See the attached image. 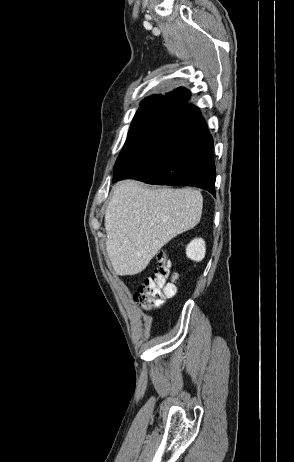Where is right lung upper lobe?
<instances>
[{
	"label": "right lung upper lobe",
	"instance_id": "1",
	"mask_svg": "<svg viewBox=\"0 0 294 462\" xmlns=\"http://www.w3.org/2000/svg\"><path fill=\"white\" fill-rule=\"evenodd\" d=\"M189 95H190V92H186V93H185V89L182 88V87H179V88H177L176 90H173L172 92L168 93V94L165 95V96H161V95H152V96H150V97L144 99V100L141 102V105H142V104L149 103V102H152V101H155V100H159V99H163V98H168V97H176V98L185 100L186 98L189 97Z\"/></svg>",
	"mask_w": 294,
	"mask_h": 462
}]
</instances>
